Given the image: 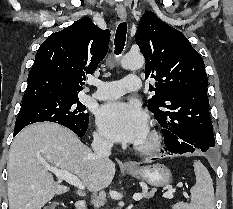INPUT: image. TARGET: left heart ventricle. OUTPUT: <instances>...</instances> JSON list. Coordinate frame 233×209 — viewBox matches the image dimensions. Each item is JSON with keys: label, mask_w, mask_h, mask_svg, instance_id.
<instances>
[{"label": "left heart ventricle", "mask_w": 233, "mask_h": 209, "mask_svg": "<svg viewBox=\"0 0 233 209\" xmlns=\"http://www.w3.org/2000/svg\"><path fill=\"white\" fill-rule=\"evenodd\" d=\"M148 138V132L146 133V135L143 137V139L141 141H139L138 143H143L147 140Z\"/></svg>", "instance_id": "obj_1"}]
</instances>
